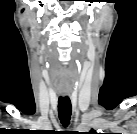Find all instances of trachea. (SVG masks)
I'll list each match as a JSON object with an SVG mask.
<instances>
[{
    "label": "trachea",
    "instance_id": "trachea-1",
    "mask_svg": "<svg viewBox=\"0 0 137 134\" xmlns=\"http://www.w3.org/2000/svg\"><path fill=\"white\" fill-rule=\"evenodd\" d=\"M72 106L68 96L59 97L58 100V115L64 127H67L71 119Z\"/></svg>",
    "mask_w": 137,
    "mask_h": 134
}]
</instances>
